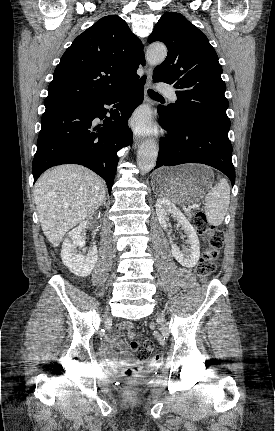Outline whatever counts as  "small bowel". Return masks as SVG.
<instances>
[{
    "instance_id": "1",
    "label": "small bowel",
    "mask_w": 275,
    "mask_h": 431,
    "mask_svg": "<svg viewBox=\"0 0 275 431\" xmlns=\"http://www.w3.org/2000/svg\"><path fill=\"white\" fill-rule=\"evenodd\" d=\"M179 281L181 286L185 288H190L194 284L193 276L187 269H180L178 272ZM133 328V325L130 322H122L120 323L116 329L115 333L109 335L105 338L102 350L107 361L114 367L120 366L123 363L129 362L132 360L130 353L128 352L126 345L121 337V333L124 330H130ZM118 347L120 350L119 353L114 350V347Z\"/></svg>"
}]
</instances>
